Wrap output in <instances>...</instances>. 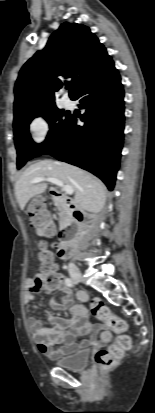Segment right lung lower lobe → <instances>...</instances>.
I'll return each mask as SVG.
<instances>
[{
  "instance_id": "1",
  "label": "right lung lower lobe",
  "mask_w": 155,
  "mask_h": 413,
  "mask_svg": "<svg viewBox=\"0 0 155 413\" xmlns=\"http://www.w3.org/2000/svg\"><path fill=\"white\" fill-rule=\"evenodd\" d=\"M124 90L113 67L102 77L82 87L73 100L85 113L69 114L68 121L52 144L50 154L98 176L111 191L119 168L124 130Z\"/></svg>"
}]
</instances>
